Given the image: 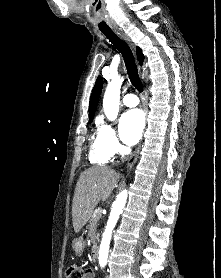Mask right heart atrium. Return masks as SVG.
I'll use <instances>...</instances> for the list:
<instances>
[{
    "instance_id": "d8ad5b80",
    "label": "right heart atrium",
    "mask_w": 221,
    "mask_h": 278,
    "mask_svg": "<svg viewBox=\"0 0 221 278\" xmlns=\"http://www.w3.org/2000/svg\"><path fill=\"white\" fill-rule=\"evenodd\" d=\"M98 134L102 143L112 156L121 151V144L116 136L114 128L111 125L102 123L99 127Z\"/></svg>"
}]
</instances>
